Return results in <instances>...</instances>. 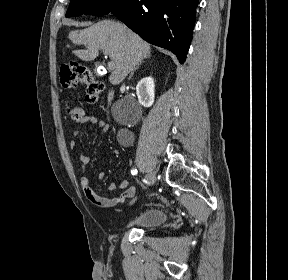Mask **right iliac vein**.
<instances>
[{
    "instance_id": "1",
    "label": "right iliac vein",
    "mask_w": 288,
    "mask_h": 280,
    "mask_svg": "<svg viewBox=\"0 0 288 280\" xmlns=\"http://www.w3.org/2000/svg\"><path fill=\"white\" fill-rule=\"evenodd\" d=\"M156 180V177H155V174L153 172H148L146 174V181L148 183V185H151L155 182Z\"/></svg>"
}]
</instances>
